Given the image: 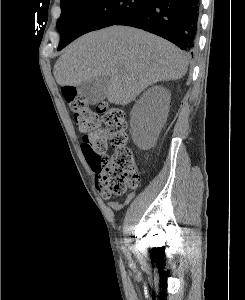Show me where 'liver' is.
<instances>
[{
    "label": "liver",
    "mask_w": 245,
    "mask_h": 300,
    "mask_svg": "<svg viewBox=\"0 0 245 300\" xmlns=\"http://www.w3.org/2000/svg\"><path fill=\"white\" fill-rule=\"evenodd\" d=\"M187 69L186 55L169 41L133 27L111 26L69 45L55 63L54 77L62 87H78L107 76V99L124 106L154 83L182 78Z\"/></svg>",
    "instance_id": "1"
}]
</instances>
